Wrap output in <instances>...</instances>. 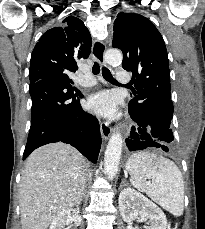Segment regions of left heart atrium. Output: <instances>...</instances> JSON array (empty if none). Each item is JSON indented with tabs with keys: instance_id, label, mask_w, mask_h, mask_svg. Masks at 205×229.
<instances>
[{
	"instance_id": "obj_1",
	"label": "left heart atrium",
	"mask_w": 205,
	"mask_h": 229,
	"mask_svg": "<svg viewBox=\"0 0 205 229\" xmlns=\"http://www.w3.org/2000/svg\"><path fill=\"white\" fill-rule=\"evenodd\" d=\"M88 108L99 115L110 117L116 112L117 100L113 93L101 91L89 98Z\"/></svg>"
}]
</instances>
